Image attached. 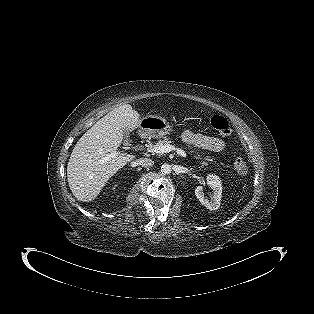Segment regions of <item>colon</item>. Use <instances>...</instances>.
<instances>
[{"label":"colon","instance_id":"obj_1","mask_svg":"<svg viewBox=\"0 0 314 314\" xmlns=\"http://www.w3.org/2000/svg\"><path fill=\"white\" fill-rule=\"evenodd\" d=\"M211 128L223 136H228L231 132V125L226 118L221 115H213L210 120ZM233 167L239 174H246L248 171L247 162L244 156L237 155L233 159Z\"/></svg>","mask_w":314,"mask_h":314}]
</instances>
